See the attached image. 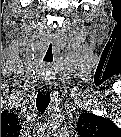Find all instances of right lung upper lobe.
<instances>
[{"mask_svg": "<svg viewBox=\"0 0 121 137\" xmlns=\"http://www.w3.org/2000/svg\"><path fill=\"white\" fill-rule=\"evenodd\" d=\"M19 130L18 121L16 116L12 113L1 114V134L13 135Z\"/></svg>", "mask_w": 121, "mask_h": 137, "instance_id": "1", "label": "right lung upper lobe"}]
</instances>
